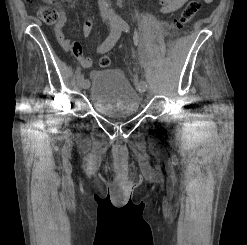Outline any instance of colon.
Wrapping results in <instances>:
<instances>
[{
  "instance_id": "1",
  "label": "colon",
  "mask_w": 247,
  "mask_h": 245,
  "mask_svg": "<svg viewBox=\"0 0 247 245\" xmlns=\"http://www.w3.org/2000/svg\"><path fill=\"white\" fill-rule=\"evenodd\" d=\"M46 4L38 10L40 19L46 24L57 23L60 19V13L52 6V0H43ZM200 0H188L186 5L181 9L173 20V26L176 30L182 29L200 10ZM111 64L110 58L103 56L99 59V65L107 68Z\"/></svg>"
}]
</instances>
